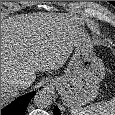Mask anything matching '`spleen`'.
Instances as JSON below:
<instances>
[{
  "label": "spleen",
  "instance_id": "1",
  "mask_svg": "<svg viewBox=\"0 0 115 115\" xmlns=\"http://www.w3.org/2000/svg\"><path fill=\"white\" fill-rule=\"evenodd\" d=\"M72 115H115V97L108 102L96 104L71 110Z\"/></svg>",
  "mask_w": 115,
  "mask_h": 115
}]
</instances>
